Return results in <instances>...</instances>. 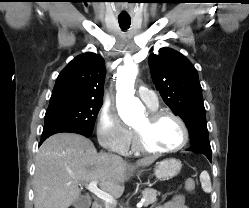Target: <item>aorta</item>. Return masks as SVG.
I'll list each match as a JSON object with an SVG mask.
<instances>
[{"instance_id":"aorta-1","label":"aorta","mask_w":249,"mask_h":208,"mask_svg":"<svg viewBox=\"0 0 249 208\" xmlns=\"http://www.w3.org/2000/svg\"><path fill=\"white\" fill-rule=\"evenodd\" d=\"M137 75V67L134 64H126L118 69L116 81V102L120 118L125 123H132L136 118L144 114V106L134 96V82Z\"/></svg>"}]
</instances>
